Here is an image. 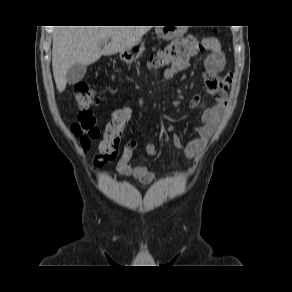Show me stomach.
Segmentation results:
<instances>
[{
    "label": "stomach",
    "mask_w": 292,
    "mask_h": 292,
    "mask_svg": "<svg viewBox=\"0 0 292 292\" xmlns=\"http://www.w3.org/2000/svg\"><path fill=\"white\" fill-rule=\"evenodd\" d=\"M156 33L160 38H163V39H170L176 34L175 31H172V28L165 27V26L157 27ZM143 51H144V43L140 40L131 48L121 52L120 58L122 61L130 64L136 59H138L140 55L143 53Z\"/></svg>",
    "instance_id": "stomach-1"
}]
</instances>
